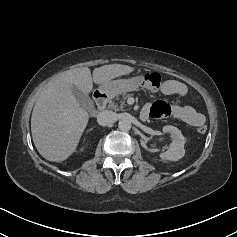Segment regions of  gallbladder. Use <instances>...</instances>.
<instances>
[{"label":"gallbladder","mask_w":237,"mask_h":237,"mask_svg":"<svg viewBox=\"0 0 237 237\" xmlns=\"http://www.w3.org/2000/svg\"><path fill=\"white\" fill-rule=\"evenodd\" d=\"M71 90H72V93L75 96L76 100L78 101V103L81 106H83L85 108H91L92 107L93 101L91 100L89 95H87L86 93L79 90L76 86H73Z\"/></svg>","instance_id":"1"}]
</instances>
